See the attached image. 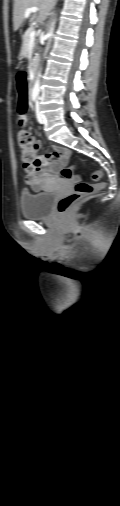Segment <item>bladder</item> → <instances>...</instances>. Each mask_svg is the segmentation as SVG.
Returning <instances> with one entry per match:
<instances>
[{"label": "bladder", "mask_w": 120, "mask_h": 506, "mask_svg": "<svg viewBox=\"0 0 120 506\" xmlns=\"http://www.w3.org/2000/svg\"><path fill=\"white\" fill-rule=\"evenodd\" d=\"M54 199V191L22 192L19 196L22 215L29 219L46 218L51 212Z\"/></svg>", "instance_id": "obj_1"}]
</instances>
